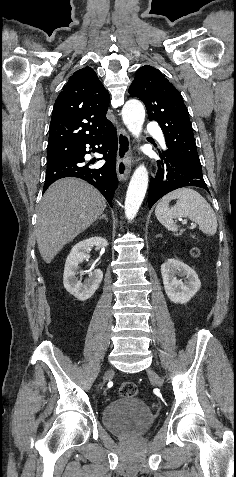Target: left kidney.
<instances>
[{"label":"left kidney","instance_id":"5707ae66","mask_svg":"<svg viewBox=\"0 0 236 477\" xmlns=\"http://www.w3.org/2000/svg\"><path fill=\"white\" fill-rule=\"evenodd\" d=\"M163 285L168 298L173 303H187L200 289L201 282L196 272L176 259H168L161 265ZM176 275L186 276V281Z\"/></svg>","mask_w":236,"mask_h":477}]
</instances>
